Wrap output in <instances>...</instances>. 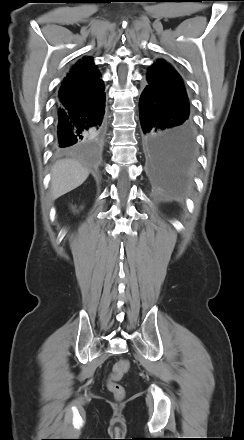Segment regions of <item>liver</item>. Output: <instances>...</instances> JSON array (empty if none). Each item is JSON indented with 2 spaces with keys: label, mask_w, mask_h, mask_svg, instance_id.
Listing matches in <instances>:
<instances>
[{
  "label": "liver",
  "mask_w": 244,
  "mask_h": 440,
  "mask_svg": "<svg viewBox=\"0 0 244 440\" xmlns=\"http://www.w3.org/2000/svg\"><path fill=\"white\" fill-rule=\"evenodd\" d=\"M88 175L89 171L77 161L71 159L57 161L51 169L52 199H57L79 187Z\"/></svg>",
  "instance_id": "obj_1"
}]
</instances>
